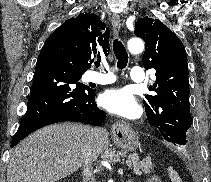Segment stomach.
Returning a JSON list of instances; mask_svg holds the SVG:
<instances>
[{
	"label": "stomach",
	"instance_id": "0dacf381",
	"mask_svg": "<svg viewBox=\"0 0 211 182\" xmlns=\"http://www.w3.org/2000/svg\"><path fill=\"white\" fill-rule=\"evenodd\" d=\"M112 138L116 146L125 151H135L139 144L138 136L129 129L114 130Z\"/></svg>",
	"mask_w": 211,
	"mask_h": 182
}]
</instances>
